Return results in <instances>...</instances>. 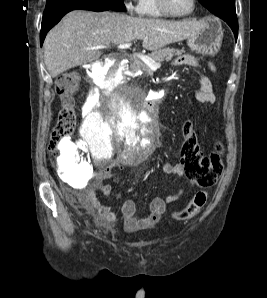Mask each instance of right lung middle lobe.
<instances>
[{"instance_id": "obj_1", "label": "right lung middle lobe", "mask_w": 267, "mask_h": 298, "mask_svg": "<svg viewBox=\"0 0 267 298\" xmlns=\"http://www.w3.org/2000/svg\"><path fill=\"white\" fill-rule=\"evenodd\" d=\"M71 1L77 0H47L46 7L43 16L49 15L53 10ZM88 2H94L100 6L108 7L115 11H125V5L123 0H82Z\"/></svg>"}]
</instances>
